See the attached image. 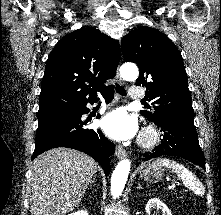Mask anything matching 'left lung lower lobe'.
<instances>
[{
  "label": "left lung lower lobe",
  "mask_w": 221,
  "mask_h": 215,
  "mask_svg": "<svg viewBox=\"0 0 221 215\" xmlns=\"http://www.w3.org/2000/svg\"><path fill=\"white\" fill-rule=\"evenodd\" d=\"M157 123L164 132L163 140L152 153L143 155L145 161L162 155H173L205 168V159L193 120L166 118Z\"/></svg>",
  "instance_id": "obj_1"
}]
</instances>
